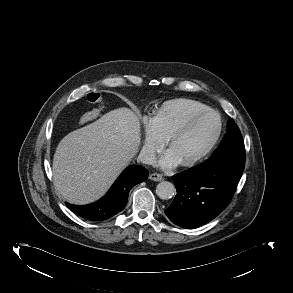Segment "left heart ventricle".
I'll list each match as a JSON object with an SVG mask.
<instances>
[{
    "label": "left heart ventricle",
    "mask_w": 293,
    "mask_h": 293,
    "mask_svg": "<svg viewBox=\"0 0 293 293\" xmlns=\"http://www.w3.org/2000/svg\"><path fill=\"white\" fill-rule=\"evenodd\" d=\"M218 120L213 114L198 119L180 137L175 139L169 149L180 162L187 161L198 155L209 143L217 130Z\"/></svg>",
    "instance_id": "b2bd125f"
}]
</instances>
